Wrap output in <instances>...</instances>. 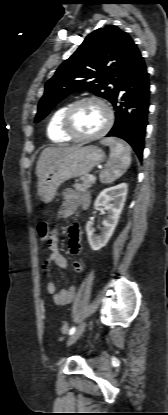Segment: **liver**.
<instances>
[{
	"label": "liver",
	"instance_id": "liver-1",
	"mask_svg": "<svg viewBox=\"0 0 168 415\" xmlns=\"http://www.w3.org/2000/svg\"><path fill=\"white\" fill-rule=\"evenodd\" d=\"M78 146H59V147H49L42 151L36 166L37 177L40 178L49 166L55 162L60 157L68 154L70 151L74 150Z\"/></svg>",
	"mask_w": 168,
	"mask_h": 415
}]
</instances>
